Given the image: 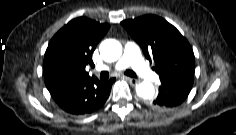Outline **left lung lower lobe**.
Returning a JSON list of instances; mask_svg holds the SVG:
<instances>
[{
	"label": "left lung lower lobe",
	"instance_id": "left-lung-lower-lobe-1",
	"mask_svg": "<svg viewBox=\"0 0 236 135\" xmlns=\"http://www.w3.org/2000/svg\"><path fill=\"white\" fill-rule=\"evenodd\" d=\"M159 94L151 103L155 109H171L182 104L187 98L194 78L189 76H173L160 78Z\"/></svg>",
	"mask_w": 236,
	"mask_h": 135
}]
</instances>
